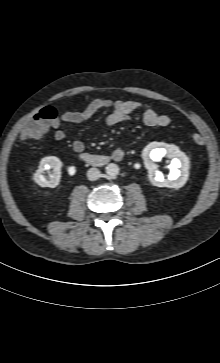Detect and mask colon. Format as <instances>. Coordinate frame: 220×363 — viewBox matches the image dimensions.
<instances>
[{
	"label": "colon",
	"instance_id": "1",
	"mask_svg": "<svg viewBox=\"0 0 220 363\" xmlns=\"http://www.w3.org/2000/svg\"><path fill=\"white\" fill-rule=\"evenodd\" d=\"M58 119V111L48 105L39 109L33 117L22 127L21 137L25 140L37 139L44 135L52 123ZM191 140L196 145H203L204 139L199 134H192Z\"/></svg>",
	"mask_w": 220,
	"mask_h": 363
}]
</instances>
